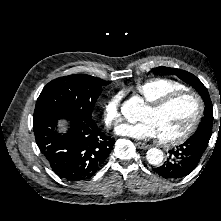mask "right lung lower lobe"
Here are the masks:
<instances>
[{
	"label": "right lung lower lobe",
	"mask_w": 221,
	"mask_h": 221,
	"mask_svg": "<svg viewBox=\"0 0 221 221\" xmlns=\"http://www.w3.org/2000/svg\"><path fill=\"white\" fill-rule=\"evenodd\" d=\"M66 119L70 127L58 131L57 122ZM36 143L52 170L68 181L91 178L103 165L114 145L94 122L70 116L49 105H36L33 117Z\"/></svg>",
	"instance_id": "98d812e1"
}]
</instances>
